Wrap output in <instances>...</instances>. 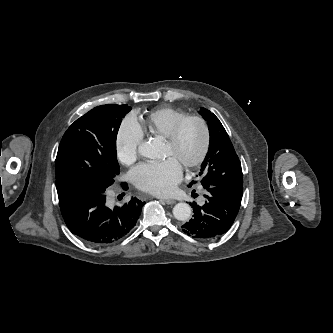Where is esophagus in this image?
<instances>
[{
	"instance_id": "1",
	"label": "esophagus",
	"mask_w": 333,
	"mask_h": 333,
	"mask_svg": "<svg viewBox=\"0 0 333 333\" xmlns=\"http://www.w3.org/2000/svg\"><path fill=\"white\" fill-rule=\"evenodd\" d=\"M163 201L166 203V204H174L176 201L173 200V199H163Z\"/></svg>"
}]
</instances>
